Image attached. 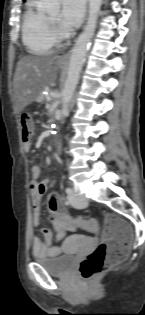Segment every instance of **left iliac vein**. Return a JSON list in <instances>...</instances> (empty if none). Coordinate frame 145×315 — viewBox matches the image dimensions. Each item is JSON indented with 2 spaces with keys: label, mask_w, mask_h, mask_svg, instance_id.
Wrapping results in <instances>:
<instances>
[{
  "label": "left iliac vein",
  "mask_w": 145,
  "mask_h": 315,
  "mask_svg": "<svg viewBox=\"0 0 145 315\" xmlns=\"http://www.w3.org/2000/svg\"><path fill=\"white\" fill-rule=\"evenodd\" d=\"M68 200L75 208H85L88 204V200L86 197L73 192L68 195Z\"/></svg>",
  "instance_id": "1"
}]
</instances>
